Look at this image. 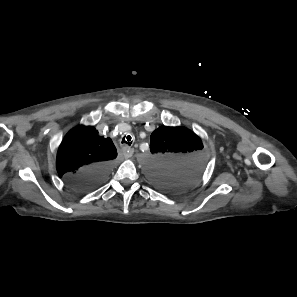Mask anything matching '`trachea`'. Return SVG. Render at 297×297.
Masks as SVG:
<instances>
[{"label": "trachea", "instance_id": "trachea-1", "mask_svg": "<svg viewBox=\"0 0 297 297\" xmlns=\"http://www.w3.org/2000/svg\"><path fill=\"white\" fill-rule=\"evenodd\" d=\"M131 139H132V138H131L130 135H128V136H126V137L124 136L123 139H122V142H121V143H122V144H127V145L130 146V145L132 144Z\"/></svg>", "mask_w": 297, "mask_h": 297}]
</instances>
